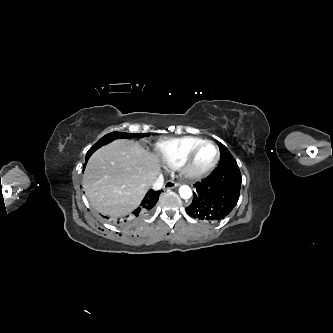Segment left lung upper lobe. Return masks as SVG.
<instances>
[{
	"label": "left lung upper lobe",
	"instance_id": "left-lung-upper-lobe-1",
	"mask_svg": "<svg viewBox=\"0 0 333 333\" xmlns=\"http://www.w3.org/2000/svg\"><path fill=\"white\" fill-rule=\"evenodd\" d=\"M219 148H220V162L218 164V167H224V166H231V165H236V160L234 157L231 155V153L228 151V149L221 143H219Z\"/></svg>",
	"mask_w": 333,
	"mask_h": 333
}]
</instances>
